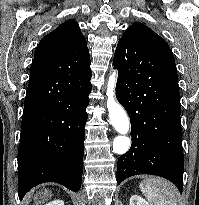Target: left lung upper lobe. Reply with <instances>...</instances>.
I'll list each match as a JSON object with an SVG mask.
<instances>
[{"instance_id": "obj_1", "label": "left lung upper lobe", "mask_w": 199, "mask_h": 205, "mask_svg": "<svg viewBox=\"0 0 199 205\" xmlns=\"http://www.w3.org/2000/svg\"><path fill=\"white\" fill-rule=\"evenodd\" d=\"M126 32L137 34L139 37L159 48L176 67L173 54L168 44L163 38L153 32L149 27L141 23H134L126 30Z\"/></svg>"}]
</instances>
